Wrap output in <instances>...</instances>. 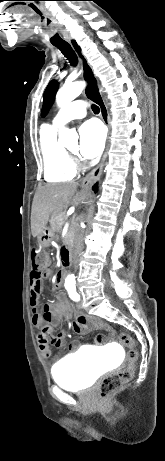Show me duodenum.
Returning <instances> with one entry per match:
<instances>
[{"mask_svg":"<svg viewBox=\"0 0 165 461\" xmlns=\"http://www.w3.org/2000/svg\"><path fill=\"white\" fill-rule=\"evenodd\" d=\"M68 243H66L64 245V248L62 250V257H63V261L65 264H67L69 262V258H70V251H69V248H68Z\"/></svg>","mask_w":165,"mask_h":461,"instance_id":"410a0bca","label":"duodenum"}]
</instances>
